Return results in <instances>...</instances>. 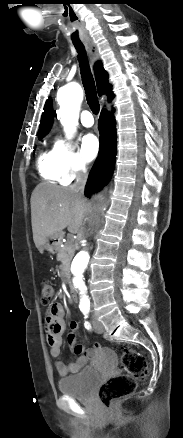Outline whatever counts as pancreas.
Masks as SVG:
<instances>
[{
    "label": "pancreas",
    "instance_id": "pancreas-1",
    "mask_svg": "<svg viewBox=\"0 0 183 438\" xmlns=\"http://www.w3.org/2000/svg\"><path fill=\"white\" fill-rule=\"evenodd\" d=\"M74 256V247L70 242H67L64 247H60L57 253V259L61 261L60 269L66 273L70 267V262Z\"/></svg>",
    "mask_w": 183,
    "mask_h": 438
}]
</instances>
